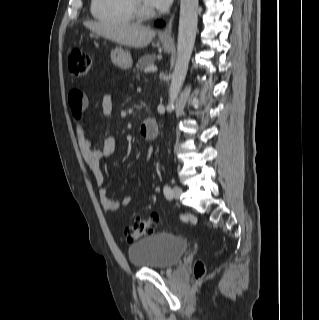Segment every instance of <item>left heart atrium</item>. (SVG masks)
Segmentation results:
<instances>
[{
  "mask_svg": "<svg viewBox=\"0 0 319 320\" xmlns=\"http://www.w3.org/2000/svg\"><path fill=\"white\" fill-rule=\"evenodd\" d=\"M171 2L172 0H148L149 5L156 9H165Z\"/></svg>",
  "mask_w": 319,
  "mask_h": 320,
  "instance_id": "obj_1",
  "label": "left heart atrium"
}]
</instances>
